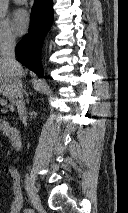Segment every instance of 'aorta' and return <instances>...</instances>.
<instances>
[{
  "label": "aorta",
  "instance_id": "762f6f07",
  "mask_svg": "<svg viewBox=\"0 0 128 213\" xmlns=\"http://www.w3.org/2000/svg\"><path fill=\"white\" fill-rule=\"evenodd\" d=\"M9 0H0V18L5 17L8 9Z\"/></svg>",
  "mask_w": 128,
  "mask_h": 213
}]
</instances>
